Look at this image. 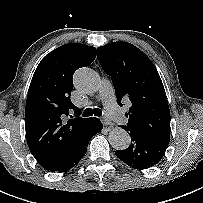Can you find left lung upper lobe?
Returning <instances> with one entry per match:
<instances>
[{
	"label": "left lung upper lobe",
	"mask_w": 203,
	"mask_h": 203,
	"mask_svg": "<svg viewBox=\"0 0 203 203\" xmlns=\"http://www.w3.org/2000/svg\"><path fill=\"white\" fill-rule=\"evenodd\" d=\"M97 58L111 76L117 102L129 100L127 131L169 144L170 110L165 89L152 61L136 46L112 42L97 49Z\"/></svg>",
	"instance_id": "left-lung-upper-lobe-1"
}]
</instances>
